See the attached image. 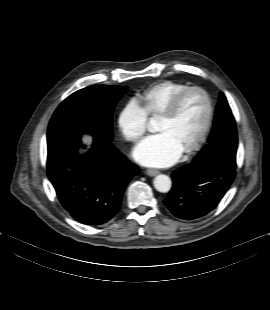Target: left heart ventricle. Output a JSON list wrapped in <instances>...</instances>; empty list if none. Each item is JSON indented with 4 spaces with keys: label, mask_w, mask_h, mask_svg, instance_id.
Wrapping results in <instances>:
<instances>
[{
    "label": "left heart ventricle",
    "mask_w": 270,
    "mask_h": 310,
    "mask_svg": "<svg viewBox=\"0 0 270 310\" xmlns=\"http://www.w3.org/2000/svg\"><path fill=\"white\" fill-rule=\"evenodd\" d=\"M206 101L199 92L188 93L171 119L159 117L157 131L167 133L182 149H186L200 134L205 117Z\"/></svg>",
    "instance_id": "obj_1"
}]
</instances>
